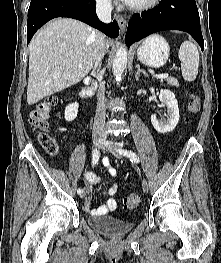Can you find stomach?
I'll use <instances>...</instances> for the list:
<instances>
[{"label":"stomach","instance_id":"obj_1","mask_svg":"<svg viewBox=\"0 0 221 263\" xmlns=\"http://www.w3.org/2000/svg\"><path fill=\"white\" fill-rule=\"evenodd\" d=\"M169 51V45L163 37L152 35L140 45L137 57L143 64L159 68L167 62Z\"/></svg>","mask_w":221,"mask_h":263}]
</instances>
